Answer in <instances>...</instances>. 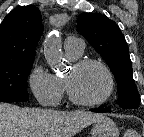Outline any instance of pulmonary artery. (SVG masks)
Wrapping results in <instances>:
<instances>
[{
	"label": "pulmonary artery",
	"mask_w": 144,
	"mask_h": 137,
	"mask_svg": "<svg viewBox=\"0 0 144 137\" xmlns=\"http://www.w3.org/2000/svg\"><path fill=\"white\" fill-rule=\"evenodd\" d=\"M84 43L81 39L68 37L65 40V49L73 54L80 55L83 51Z\"/></svg>",
	"instance_id": "obj_1"
}]
</instances>
